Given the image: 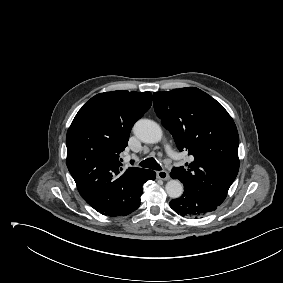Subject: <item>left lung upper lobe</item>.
<instances>
[{"label": "left lung upper lobe", "mask_w": 283, "mask_h": 283, "mask_svg": "<svg viewBox=\"0 0 283 283\" xmlns=\"http://www.w3.org/2000/svg\"><path fill=\"white\" fill-rule=\"evenodd\" d=\"M154 109L180 151L193 161L173 167V178L221 204L239 170V136L224 107L198 88L154 93Z\"/></svg>", "instance_id": "left-lung-upper-lobe-1"}]
</instances>
